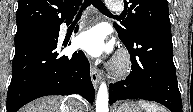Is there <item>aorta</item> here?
I'll return each mask as SVG.
<instances>
[{
	"label": "aorta",
	"instance_id": "aorta-1",
	"mask_svg": "<svg viewBox=\"0 0 193 112\" xmlns=\"http://www.w3.org/2000/svg\"><path fill=\"white\" fill-rule=\"evenodd\" d=\"M108 101L107 85L103 82L97 93L96 112H109Z\"/></svg>",
	"mask_w": 193,
	"mask_h": 112
}]
</instances>
